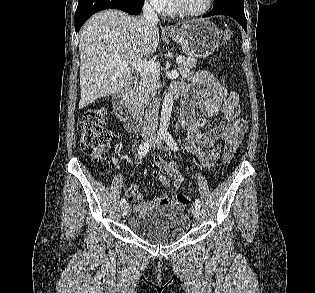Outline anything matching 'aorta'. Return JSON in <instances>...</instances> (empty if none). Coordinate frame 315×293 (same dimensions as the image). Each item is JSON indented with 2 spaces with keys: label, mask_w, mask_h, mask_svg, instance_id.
Here are the masks:
<instances>
[{
  "label": "aorta",
  "mask_w": 315,
  "mask_h": 293,
  "mask_svg": "<svg viewBox=\"0 0 315 293\" xmlns=\"http://www.w3.org/2000/svg\"><path fill=\"white\" fill-rule=\"evenodd\" d=\"M172 106H173V96L171 93H167L164 97L163 104H162L160 126H159V129L161 131H166L168 128V124H169L171 112H172Z\"/></svg>",
  "instance_id": "762f6f07"
}]
</instances>
